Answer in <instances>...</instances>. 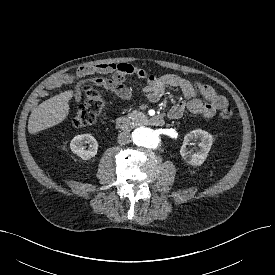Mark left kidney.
<instances>
[{
	"label": "left kidney",
	"instance_id": "5707ae66",
	"mask_svg": "<svg viewBox=\"0 0 275 275\" xmlns=\"http://www.w3.org/2000/svg\"><path fill=\"white\" fill-rule=\"evenodd\" d=\"M193 139H200L201 141L199 143L200 149L197 152H192L186 148L189 142ZM212 144L213 137L211 134L202 129L193 130L185 135L183 145L180 149V155L186 163L193 166H199L206 160Z\"/></svg>",
	"mask_w": 275,
	"mask_h": 275
}]
</instances>
